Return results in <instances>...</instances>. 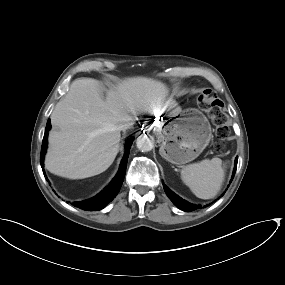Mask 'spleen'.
Listing matches in <instances>:
<instances>
[{
	"mask_svg": "<svg viewBox=\"0 0 285 285\" xmlns=\"http://www.w3.org/2000/svg\"><path fill=\"white\" fill-rule=\"evenodd\" d=\"M225 170L220 158L205 159L189 164L181 170L182 181L201 199H211L220 191Z\"/></svg>",
	"mask_w": 285,
	"mask_h": 285,
	"instance_id": "obj_1",
	"label": "spleen"
}]
</instances>
